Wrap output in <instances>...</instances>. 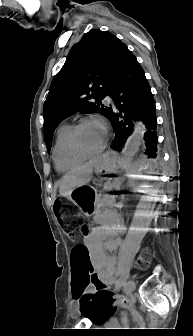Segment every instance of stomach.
<instances>
[{"mask_svg":"<svg viewBox=\"0 0 193 336\" xmlns=\"http://www.w3.org/2000/svg\"><path fill=\"white\" fill-rule=\"evenodd\" d=\"M115 168L116 154L114 152L104 154L101 162L94 167L95 172L99 174H110L115 171ZM69 198L81 209L82 212L89 215L93 212L97 200V194L93 188L89 186H81L75 188L71 192Z\"/></svg>","mask_w":193,"mask_h":336,"instance_id":"stomach-1","label":"stomach"}]
</instances>
